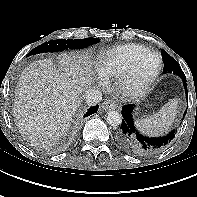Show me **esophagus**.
Here are the masks:
<instances>
[{"label": "esophagus", "mask_w": 197, "mask_h": 197, "mask_svg": "<svg viewBox=\"0 0 197 197\" xmlns=\"http://www.w3.org/2000/svg\"><path fill=\"white\" fill-rule=\"evenodd\" d=\"M116 107H117L116 104L110 100H107L102 104V109L105 111L114 110L116 109Z\"/></svg>", "instance_id": "1"}]
</instances>
